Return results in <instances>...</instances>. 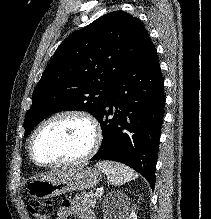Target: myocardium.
<instances>
[{
    "instance_id": "myocardium-1",
    "label": "myocardium",
    "mask_w": 211,
    "mask_h": 219,
    "mask_svg": "<svg viewBox=\"0 0 211 219\" xmlns=\"http://www.w3.org/2000/svg\"><path fill=\"white\" fill-rule=\"evenodd\" d=\"M62 117H75L83 120L90 128L91 133H92V141L87 149V151L81 155L80 157L69 160V161H63V162H55V163H43L39 161L33 151V145L35 142V139L39 132L50 122L62 118ZM101 140H102V134H101V129L100 126L97 122V120L90 115L87 112L81 111V110H63L60 112H57L48 118H46L44 121H42L33 131L29 143H28V154L30 157V160L32 161L33 164H35L38 167L41 168H67V167H74L80 164H83L90 160L99 150L100 145H101Z\"/></svg>"
}]
</instances>
